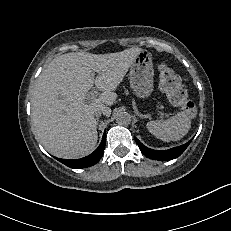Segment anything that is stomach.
Masks as SVG:
<instances>
[{"instance_id": "stomach-1", "label": "stomach", "mask_w": 231, "mask_h": 231, "mask_svg": "<svg viewBox=\"0 0 231 231\" xmlns=\"http://www.w3.org/2000/svg\"><path fill=\"white\" fill-rule=\"evenodd\" d=\"M129 81L138 98H148L153 92L154 69L151 53L147 50L142 49L130 67Z\"/></svg>"}]
</instances>
